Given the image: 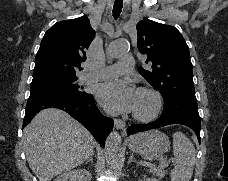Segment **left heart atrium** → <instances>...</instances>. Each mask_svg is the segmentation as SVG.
<instances>
[{"label":"left heart atrium","instance_id":"left-heart-atrium-1","mask_svg":"<svg viewBox=\"0 0 228 181\" xmlns=\"http://www.w3.org/2000/svg\"><path fill=\"white\" fill-rule=\"evenodd\" d=\"M100 100L116 112H128L135 107V95L131 86L123 80H112L100 87ZM123 98V103H119Z\"/></svg>","mask_w":228,"mask_h":181}]
</instances>
